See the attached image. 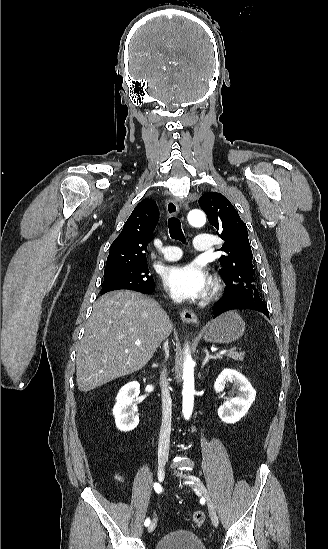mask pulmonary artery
Segmentation results:
<instances>
[{
    "label": "pulmonary artery",
    "mask_w": 328,
    "mask_h": 549,
    "mask_svg": "<svg viewBox=\"0 0 328 549\" xmlns=\"http://www.w3.org/2000/svg\"><path fill=\"white\" fill-rule=\"evenodd\" d=\"M194 247L198 248L199 252H212L215 248L214 241L211 237H195L193 241ZM186 250L183 246H176L174 250L165 248L163 250L164 258L167 261H175L183 257Z\"/></svg>",
    "instance_id": "pulmonary-artery-1"
}]
</instances>
